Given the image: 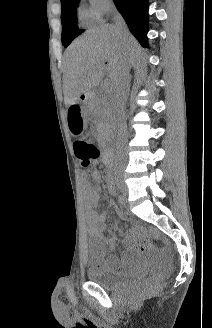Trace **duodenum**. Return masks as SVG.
Here are the masks:
<instances>
[{"instance_id":"obj_1","label":"duodenum","mask_w":212,"mask_h":328,"mask_svg":"<svg viewBox=\"0 0 212 328\" xmlns=\"http://www.w3.org/2000/svg\"><path fill=\"white\" fill-rule=\"evenodd\" d=\"M85 99H86V97H85ZM103 157H104V159H105V161L107 163L110 162V156H109V149L108 148H105L104 149V151H103Z\"/></svg>"}]
</instances>
